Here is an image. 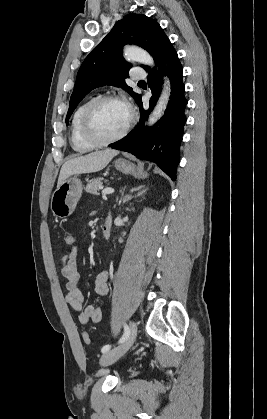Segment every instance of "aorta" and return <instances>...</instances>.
I'll return each mask as SVG.
<instances>
[{
    "label": "aorta",
    "instance_id": "aorta-1",
    "mask_svg": "<svg viewBox=\"0 0 267 419\" xmlns=\"http://www.w3.org/2000/svg\"><path fill=\"white\" fill-rule=\"evenodd\" d=\"M124 56L128 61L142 63L151 67H154L155 65L153 58L146 51L138 47L126 46L124 48ZM170 92H171L170 81L167 77H165L160 98L158 102L156 103L148 119L147 124L149 126H152L153 124H155L164 114V111L169 102Z\"/></svg>",
    "mask_w": 267,
    "mask_h": 419
}]
</instances>
